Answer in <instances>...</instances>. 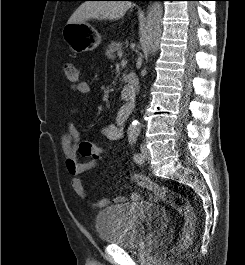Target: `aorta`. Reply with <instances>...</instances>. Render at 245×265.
Segmentation results:
<instances>
[{"instance_id": "aorta-1", "label": "aorta", "mask_w": 245, "mask_h": 265, "mask_svg": "<svg viewBox=\"0 0 245 265\" xmlns=\"http://www.w3.org/2000/svg\"><path fill=\"white\" fill-rule=\"evenodd\" d=\"M163 16V7L161 2H153L147 14V20L145 25V43L148 52L151 55H155L160 45V38L162 33L161 23ZM129 129L132 132H138L140 130V124L137 120H134Z\"/></svg>"}]
</instances>
